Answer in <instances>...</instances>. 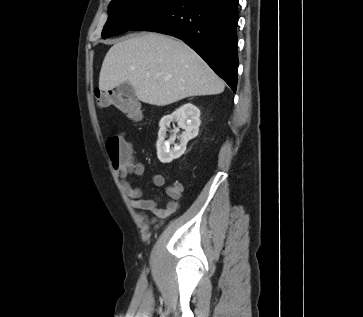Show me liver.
<instances>
[{"label":"liver","instance_id":"obj_1","mask_svg":"<svg viewBox=\"0 0 363 317\" xmlns=\"http://www.w3.org/2000/svg\"><path fill=\"white\" fill-rule=\"evenodd\" d=\"M124 82L132 85L140 101L156 106L191 96L220 94L225 88L183 41L153 32L130 35L107 52L99 88L108 91Z\"/></svg>","mask_w":363,"mask_h":317}]
</instances>
